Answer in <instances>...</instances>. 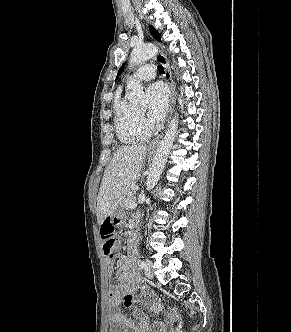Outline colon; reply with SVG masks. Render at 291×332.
<instances>
[{
  "instance_id": "1",
  "label": "colon",
  "mask_w": 291,
  "mask_h": 332,
  "mask_svg": "<svg viewBox=\"0 0 291 332\" xmlns=\"http://www.w3.org/2000/svg\"><path fill=\"white\" fill-rule=\"evenodd\" d=\"M101 238L103 244L104 255L107 258H113L118 246V238L115 233L113 224L110 221L104 222L101 227Z\"/></svg>"
}]
</instances>
